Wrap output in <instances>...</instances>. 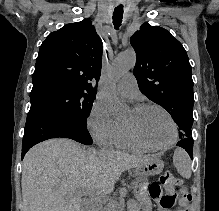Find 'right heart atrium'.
Here are the masks:
<instances>
[{"label":"right heart atrium","instance_id":"1","mask_svg":"<svg viewBox=\"0 0 219 211\" xmlns=\"http://www.w3.org/2000/svg\"><path fill=\"white\" fill-rule=\"evenodd\" d=\"M87 127L93 139L104 146H112L118 134L119 123L114 120L107 108L95 101L86 119Z\"/></svg>","mask_w":219,"mask_h":211}]
</instances>
